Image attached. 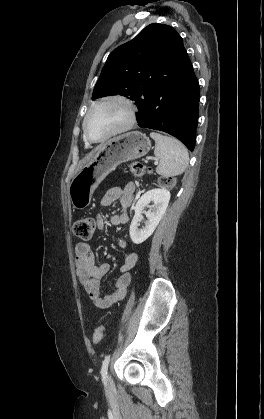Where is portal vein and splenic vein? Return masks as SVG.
<instances>
[{
    "label": "portal vein and splenic vein",
    "instance_id": "18ae733b",
    "mask_svg": "<svg viewBox=\"0 0 264 419\" xmlns=\"http://www.w3.org/2000/svg\"><path fill=\"white\" fill-rule=\"evenodd\" d=\"M157 164H158V160L155 161V165H157Z\"/></svg>",
    "mask_w": 264,
    "mask_h": 419
}]
</instances>
